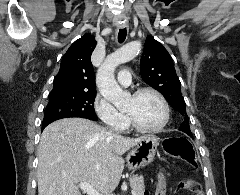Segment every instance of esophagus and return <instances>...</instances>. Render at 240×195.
<instances>
[{
    "label": "esophagus",
    "mask_w": 240,
    "mask_h": 195,
    "mask_svg": "<svg viewBox=\"0 0 240 195\" xmlns=\"http://www.w3.org/2000/svg\"><path fill=\"white\" fill-rule=\"evenodd\" d=\"M115 26H116V28H123L125 26V24H116Z\"/></svg>",
    "instance_id": "obj_1"
}]
</instances>
